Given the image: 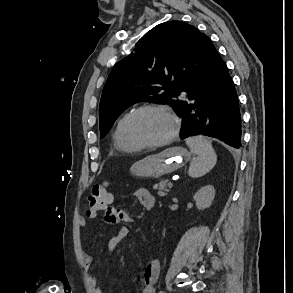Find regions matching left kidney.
Returning <instances> with one entry per match:
<instances>
[{"label":"left kidney","mask_w":293,"mask_h":293,"mask_svg":"<svg viewBox=\"0 0 293 293\" xmlns=\"http://www.w3.org/2000/svg\"><path fill=\"white\" fill-rule=\"evenodd\" d=\"M215 197V188L213 185H206L200 188L194 195L196 206L199 210L207 209L211 206Z\"/></svg>","instance_id":"1"}]
</instances>
